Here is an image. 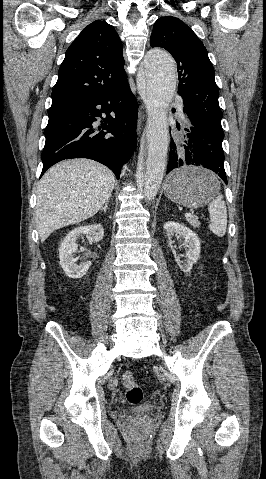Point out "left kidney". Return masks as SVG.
I'll return each mask as SVG.
<instances>
[{
    "mask_svg": "<svg viewBox=\"0 0 266 479\" xmlns=\"http://www.w3.org/2000/svg\"><path fill=\"white\" fill-rule=\"evenodd\" d=\"M164 229L167 233L170 243L174 234L180 235L184 238L186 255L184 262H182L183 265L180 264L179 267L184 273H189L193 264L200 256L201 246L198 236L186 226L173 221L167 222L164 225Z\"/></svg>",
    "mask_w": 266,
    "mask_h": 479,
    "instance_id": "5707ae66",
    "label": "left kidney"
}]
</instances>
